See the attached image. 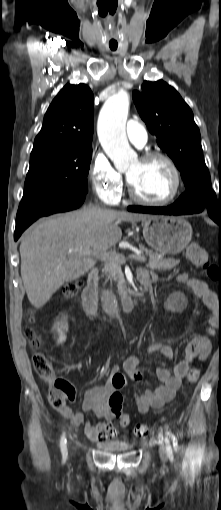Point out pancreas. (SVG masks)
Wrapping results in <instances>:
<instances>
[{
  "label": "pancreas",
  "instance_id": "pancreas-1",
  "mask_svg": "<svg viewBox=\"0 0 221 510\" xmlns=\"http://www.w3.org/2000/svg\"><path fill=\"white\" fill-rule=\"evenodd\" d=\"M140 251L144 252L148 257L149 261L147 267L152 270L168 271L176 267L180 261L171 258H160L157 252L148 250L144 245H139ZM123 262L120 260L108 262L105 264L104 271L110 280H117V276L121 277V265Z\"/></svg>",
  "mask_w": 221,
  "mask_h": 510
}]
</instances>
